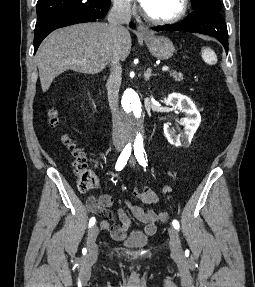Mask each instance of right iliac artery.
<instances>
[{
	"instance_id": "right-iliac-artery-1",
	"label": "right iliac artery",
	"mask_w": 255,
	"mask_h": 287,
	"mask_svg": "<svg viewBox=\"0 0 255 287\" xmlns=\"http://www.w3.org/2000/svg\"><path fill=\"white\" fill-rule=\"evenodd\" d=\"M131 154V147H126L122 153L120 154L117 162H116V166H115V169L117 171H120L123 169V167L126 165L128 159H129V156ZM95 221L96 219L94 217H92L89 221V227H92L94 224H95Z\"/></svg>"
}]
</instances>
